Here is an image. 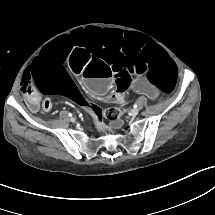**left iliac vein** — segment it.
<instances>
[{
  "label": "left iliac vein",
  "instance_id": "4c4485c4",
  "mask_svg": "<svg viewBox=\"0 0 215 215\" xmlns=\"http://www.w3.org/2000/svg\"><path fill=\"white\" fill-rule=\"evenodd\" d=\"M138 113H139V110L137 108H134L130 111V114L134 117L137 116Z\"/></svg>",
  "mask_w": 215,
  "mask_h": 215
}]
</instances>
